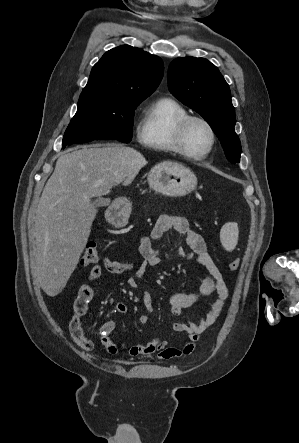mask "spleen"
<instances>
[{
	"instance_id": "obj_1",
	"label": "spleen",
	"mask_w": 299,
	"mask_h": 443,
	"mask_svg": "<svg viewBox=\"0 0 299 443\" xmlns=\"http://www.w3.org/2000/svg\"><path fill=\"white\" fill-rule=\"evenodd\" d=\"M238 226L236 223H226L220 231V240L222 243V246L227 251H232L238 241Z\"/></svg>"
}]
</instances>
